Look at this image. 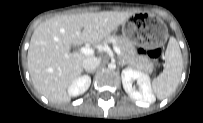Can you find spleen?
Masks as SVG:
<instances>
[{
  "mask_svg": "<svg viewBox=\"0 0 203 123\" xmlns=\"http://www.w3.org/2000/svg\"><path fill=\"white\" fill-rule=\"evenodd\" d=\"M183 60L181 50L175 38L171 37L165 53L163 72L153 80L152 88L160 100L175 92L181 78Z\"/></svg>",
  "mask_w": 203,
  "mask_h": 123,
  "instance_id": "spleen-1",
  "label": "spleen"
}]
</instances>
